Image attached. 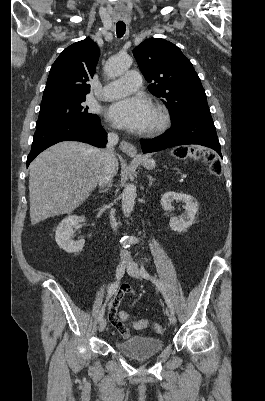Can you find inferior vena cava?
Here are the masks:
<instances>
[{
    "instance_id": "obj_1",
    "label": "inferior vena cava",
    "mask_w": 265,
    "mask_h": 401,
    "mask_svg": "<svg viewBox=\"0 0 265 401\" xmlns=\"http://www.w3.org/2000/svg\"><path fill=\"white\" fill-rule=\"evenodd\" d=\"M119 140L118 134L115 132H108V142L107 148H105L103 152L104 158V170L101 172L99 176V184L100 186H104V184H111L112 178L114 176V162H115V154H114V146L117 144ZM110 223L112 229H116L117 223L115 221L114 211H111ZM121 259H129V253L127 251H121Z\"/></svg>"
}]
</instances>
